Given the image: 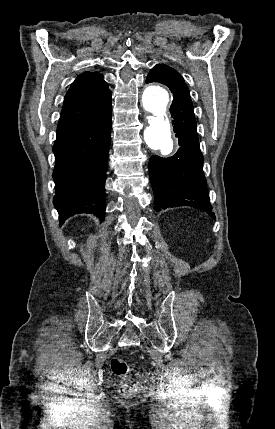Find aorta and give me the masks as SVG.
<instances>
[{"instance_id":"1","label":"aorta","mask_w":275,"mask_h":429,"mask_svg":"<svg viewBox=\"0 0 275 429\" xmlns=\"http://www.w3.org/2000/svg\"><path fill=\"white\" fill-rule=\"evenodd\" d=\"M144 109L150 113L144 139L149 148L169 154L173 150V134L167 115L169 93L161 84H149L142 95Z\"/></svg>"}]
</instances>
